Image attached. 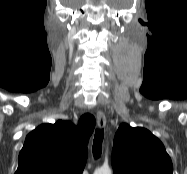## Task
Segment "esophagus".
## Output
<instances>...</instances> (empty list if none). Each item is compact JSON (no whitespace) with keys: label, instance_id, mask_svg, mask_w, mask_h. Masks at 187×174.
<instances>
[{"label":"esophagus","instance_id":"esophagus-1","mask_svg":"<svg viewBox=\"0 0 187 174\" xmlns=\"http://www.w3.org/2000/svg\"><path fill=\"white\" fill-rule=\"evenodd\" d=\"M96 121H97V125H98V127L100 129H103L105 127V125H106V116L101 110L97 111Z\"/></svg>","mask_w":187,"mask_h":174}]
</instances>
